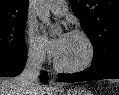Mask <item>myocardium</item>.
<instances>
[{
	"label": "myocardium",
	"mask_w": 119,
	"mask_h": 95,
	"mask_svg": "<svg viewBox=\"0 0 119 95\" xmlns=\"http://www.w3.org/2000/svg\"><path fill=\"white\" fill-rule=\"evenodd\" d=\"M70 34L80 37L85 42L86 47H87L86 58L82 63L75 65V66L62 65L55 58L54 66L58 71H61V72L79 73V72L85 71L92 65L94 58H95V46H94V43L91 40V38L85 32H83L81 30H77V29L72 30Z\"/></svg>",
	"instance_id": "myocardium-1"
}]
</instances>
